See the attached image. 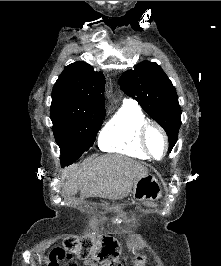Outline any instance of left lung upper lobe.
Listing matches in <instances>:
<instances>
[{
    "label": "left lung upper lobe",
    "instance_id": "left-lung-upper-lobe-1",
    "mask_svg": "<svg viewBox=\"0 0 221 266\" xmlns=\"http://www.w3.org/2000/svg\"><path fill=\"white\" fill-rule=\"evenodd\" d=\"M119 84L128 96L137 100L144 111L164 128L171 151L181 126V110L175 87L162 68L154 62L143 61L134 70L124 72Z\"/></svg>",
    "mask_w": 221,
    "mask_h": 266
}]
</instances>
